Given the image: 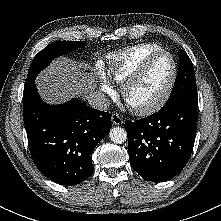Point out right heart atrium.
I'll list each match as a JSON object with an SVG mask.
<instances>
[{
	"mask_svg": "<svg viewBox=\"0 0 221 221\" xmlns=\"http://www.w3.org/2000/svg\"><path fill=\"white\" fill-rule=\"evenodd\" d=\"M97 77H98V82H99L101 91L109 95L113 94L114 93L113 84L107 78L105 73L103 71H99Z\"/></svg>",
	"mask_w": 221,
	"mask_h": 221,
	"instance_id": "1",
	"label": "right heart atrium"
}]
</instances>
